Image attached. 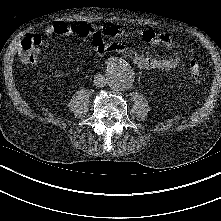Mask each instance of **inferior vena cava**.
Listing matches in <instances>:
<instances>
[{
    "mask_svg": "<svg viewBox=\"0 0 221 221\" xmlns=\"http://www.w3.org/2000/svg\"><path fill=\"white\" fill-rule=\"evenodd\" d=\"M93 83L97 87H104L107 84V80L102 74H97L94 77Z\"/></svg>",
    "mask_w": 221,
    "mask_h": 221,
    "instance_id": "inferior-vena-cava-1",
    "label": "inferior vena cava"
}]
</instances>
